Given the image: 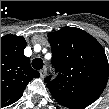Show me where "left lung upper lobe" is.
<instances>
[{
	"mask_svg": "<svg viewBox=\"0 0 109 109\" xmlns=\"http://www.w3.org/2000/svg\"><path fill=\"white\" fill-rule=\"evenodd\" d=\"M57 77L45 78L53 96L84 107L92 104L108 82L109 63L100 43L87 32L63 27L48 33Z\"/></svg>",
	"mask_w": 109,
	"mask_h": 109,
	"instance_id": "1",
	"label": "left lung upper lobe"
}]
</instances>
